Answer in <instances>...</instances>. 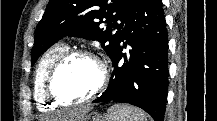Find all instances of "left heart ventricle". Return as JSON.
I'll return each instance as SVG.
<instances>
[{
	"label": "left heart ventricle",
	"mask_w": 217,
	"mask_h": 121,
	"mask_svg": "<svg viewBox=\"0 0 217 121\" xmlns=\"http://www.w3.org/2000/svg\"><path fill=\"white\" fill-rule=\"evenodd\" d=\"M99 79L98 65L88 58L80 57L59 71L54 81V89L63 100L80 101L91 94Z\"/></svg>",
	"instance_id": "obj_1"
}]
</instances>
